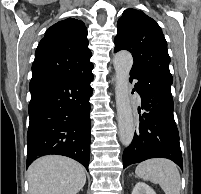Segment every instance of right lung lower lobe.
I'll list each match as a JSON object with an SVG mask.
<instances>
[{"label": "right lung lower lobe", "instance_id": "98d812e1", "mask_svg": "<svg viewBox=\"0 0 201 194\" xmlns=\"http://www.w3.org/2000/svg\"><path fill=\"white\" fill-rule=\"evenodd\" d=\"M91 70L71 78L30 81L27 167L38 157L56 154L75 159L88 170Z\"/></svg>", "mask_w": 201, "mask_h": 194}]
</instances>
